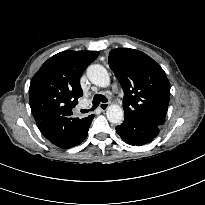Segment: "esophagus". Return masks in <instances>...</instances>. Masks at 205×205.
Instances as JSON below:
<instances>
[{"label":"esophagus","instance_id":"34e87169","mask_svg":"<svg viewBox=\"0 0 205 205\" xmlns=\"http://www.w3.org/2000/svg\"><path fill=\"white\" fill-rule=\"evenodd\" d=\"M108 103H100L99 108L102 111H105L108 108Z\"/></svg>","mask_w":205,"mask_h":205}]
</instances>
